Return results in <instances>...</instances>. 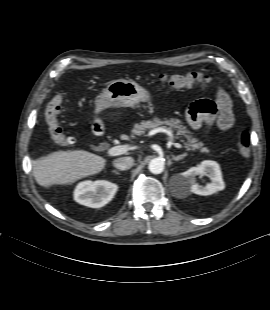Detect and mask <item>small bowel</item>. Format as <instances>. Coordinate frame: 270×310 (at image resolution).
Instances as JSON below:
<instances>
[{
  "label": "small bowel",
  "mask_w": 270,
  "mask_h": 310,
  "mask_svg": "<svg viewBox=\"0 0 270 310\" xmlns=\"http://www.w3.org/2000/svg\"><path fill=\"white\" fill-rule=\"evenodd\" d=\"M199 100L203 99H198L195 102ZM195 102L186 114L187 122L192 128L199 129L205 125L215 124L220 130L225 131L232 127L234 117L231 100L221 87H218L216 91V107L218 109L217 116H214V113L205 114L200 112L196 108Z\"/></svg>",
  "instance_id": "1"
}]
</instances>
